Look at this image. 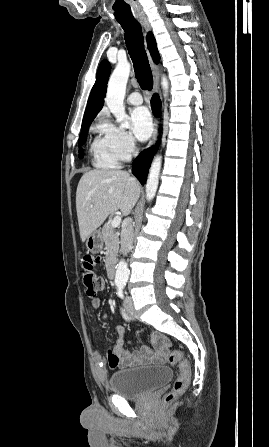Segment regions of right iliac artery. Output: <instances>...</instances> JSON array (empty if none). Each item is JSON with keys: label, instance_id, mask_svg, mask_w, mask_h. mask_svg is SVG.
Returning a JSON list of instances; mask_svg holds the SVG:
<instances>
[{"label": "right iliac artery", "instance_id": "right-iliac-artery-1", "mask_svg": "<svg viewBox=\"0 0 269 447\" xmlns=\"http://www.w3.org/2000/svg\"><path fill=\"white\" fill-rule=\"evenodd\" d=\"M122 313H123L124 318H125V319H128V317L126 316V314H125L124 312H122Z\"/></svg>", "mask_w": 269, "mask_h": 447}]
</instances>
